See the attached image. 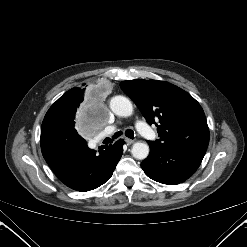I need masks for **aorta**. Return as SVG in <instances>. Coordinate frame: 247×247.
Instances as JSON below:
<instances>
[{
	"instance_id": "1",
	"label": "aorta",
	"mask_w": 247,
	"mask_h": 247,
	"mask_svg": "<svg viewBox=\"0 0 247 247\" xmlns=\"http://www.w3.org/2000/svg\"><path fill=\"white\" fill-rule=\"evenodd\" d=\"M110 109L114 114L121 117H128L133 113V105L131 101L121 95L114 96L110 100ZM131 153L134 158L144 160L149 155V146L145 142H136L132 146Z\"/></svg>"
}]
</instances>
